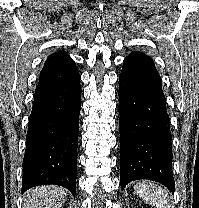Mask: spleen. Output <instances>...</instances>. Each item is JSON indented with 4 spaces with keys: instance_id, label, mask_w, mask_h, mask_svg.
I'll list each match as a JSON object with an SVG mask.
<instances>
[{
    "instance_id": "1",
    "label": "spleen",
    "mask_w": 199,
    "mask_h": 208,
    "mask_svg": "<svg viewBox=\"0 0 199 208\" xmlns=\"http://www.w3.org/2000/svg\"><path fill=\"white\" fill-rule=\"evenodd\" d=\"M135 193L156 208H170L167 191L156 183L142 181L134 185Z\"/></svg>"
}]
</instances>
